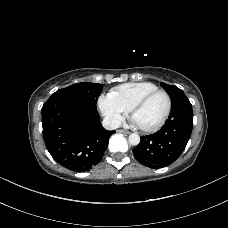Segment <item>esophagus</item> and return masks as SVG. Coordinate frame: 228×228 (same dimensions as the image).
I'll return each instance as SVG.
<instances>
[{
    "label": "esophagus",
    "mask_w": 228,
    "mask_h": 228,
    "mask_svg": "<svg viewBox=\"0 0 228 228\" xmlns=\"http://www.w3.org/2000/svg\"><path fill=\"white\" fill-rule=\"evenodd\" d=\"M118 133H123V134H129V131L123 130V129H118L117 130Z\"/></svg>",
    "instance_id": "esophagus-1"
}]
</instances>
